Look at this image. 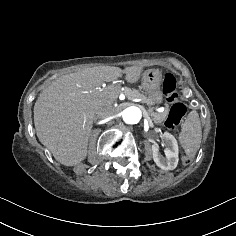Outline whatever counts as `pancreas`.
<instances>
[{
    "mask_svg": "<svg viewBox=\"0 0 236 236\" xmlns=\"http://www.w3.org/2000/svg\"><path fill=\"white\" fill-rule=\"evenodd\" d=\"M122 93L126 95L128 99H133V98H136L139 100L145 99V97L142 94H140L137 90H132L130 88H125ZM149 115L153 118H160L161 120H165V117L167 116V112L157 113V112H154L153 110H150Z\"/></svg>",
    "mask_w": 236,
    "mask_h": 236,
    "instance_id": "pancreas-1",
    "label": "pancreas"
}]
</instances>
